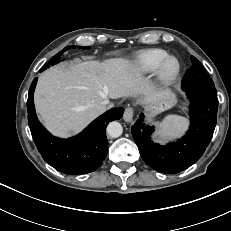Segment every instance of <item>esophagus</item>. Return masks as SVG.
I'll list each match as a JSON object with an SVG mask.
<instances>
[{"mask_svg":"<svg viewBox=\"0 0 231 231\" xmlns=\"http://www.w3.org/2000/svg\"><path fill=\"white\" fill-rule=\"evenodd\" d=\"M133 109L131 107H128L125 109L124 114H123V119L126 122H131L133 119Z\"/></svg>","mask_w":231,"mask_h":231,"instance_id":"34e87169","label":"esophagus"}]
</instances>
